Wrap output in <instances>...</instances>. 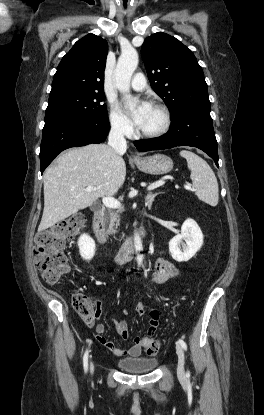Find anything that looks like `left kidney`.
I'll list each match as a JSON object with an SVG mask.
<instances>
[{
	"instance_id": "left-kidney-1",
	"label": "left kidney",
	"mask_w": 264,
	"mask_h": 415,
	"mask_svg": "<svg viewBox=\"0 0 264 415\" xmlns=\"http://www.w3.org/2000/svg\"><path fill=\"white\" fill-rule=\"evenodd\" d=\"M203 245V234L193 219H186L181 227V234L169 242V252L174 260L184 262L190 260Z\"/></svg>"
}]
</instances>
